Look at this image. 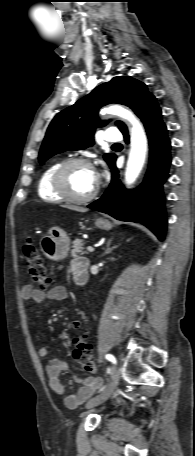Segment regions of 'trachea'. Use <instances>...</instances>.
I'll return each mask as SVG.
<instances>
[{
	"label": "trachea",
	"mask_w": 195,
	"mask_h": 456,
	"mask_svg": "<svg viewBox=\"0 0 195 456\" xmlns=\"http://www.w3.org/2000/svg\"><path fill=\"white\" fill-rule=\"evenodd\" d=\"M118 145H120V144L119 143L114 144V146H118Z\"/></svg>",
	"instance_id": "1"
}]
</instances>
